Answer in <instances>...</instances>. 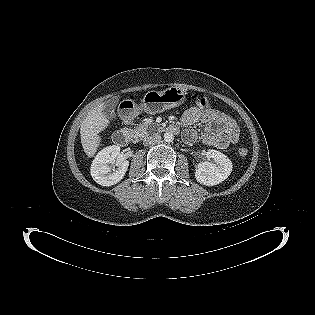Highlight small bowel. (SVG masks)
<instances>
[{
  "mask_svg": "<svg viewBox=\"0 0 315 315\" xmlns=\"http://www.w3.org/2000/svg\"><path fill=\"white\" fill-rule=\"evenodd\" d=\"M181 122L185 127L183 139L187 144L201 140L204 144L225 149L237 142L239 129L236 122L226 113L214 108L193 107L184 112ZM204 125L201 133L192 128L195 124Z\"/></svg>",
  "mask_w": 315,
  "mask_h": 315,
  "instance_id": "c3829d8e",
  "label": "small bowel"
}]
</instances>
